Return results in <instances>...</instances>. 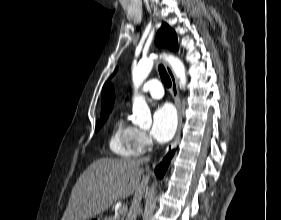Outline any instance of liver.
I'll return each instance as SVG.
<instances>
[{
  "label": "liver",
  "instance_id": "6515ba94",
  "mask_svg": "<svg viewBox=\"0 0 281 220\" xmlns=\"http://www.w3.org/2000/svg\"><path fill=\"white\" fill-rule=\"evenodd\" d=\"M142 179V181H141ZM149 176L143 175L138 161L100 158L94 161L74 185L61 220H88L113 203L132 195Z\"/></svg>",
  "mask_w": 281,
  "mask_h": 220
}]
</instances>
